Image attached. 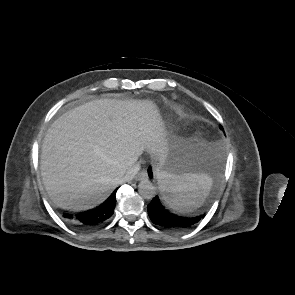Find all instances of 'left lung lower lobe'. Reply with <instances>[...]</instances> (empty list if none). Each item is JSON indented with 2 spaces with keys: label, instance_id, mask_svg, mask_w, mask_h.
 <instances>
[{
  "label": "left lung lower lobe",
  "instance_id": "obj_1",
  "mask_svg": "<svg viewBox=\"0 0 295 295\" xmlns=\"http://www.w3.org/2000/svg\"><path fill=\"white\" fill-rule=\"evenodd\" d=\"M205 156L208 167L212 168L215 164L214 153L212 151H207ZM148 173L150 176L152 175L151 169H149ZM147 210L154 224L170 231H184L189 229L204 217V215H200L198 217L188 218L172 214L165 209L158 196L153 198Z\"/></svg>",
  "mask_w": 295,
  "mask_h": 295
}]
</instances>
